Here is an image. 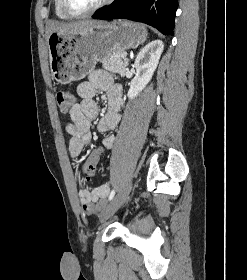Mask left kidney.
<instances>
[{"label": "left kidney", "instance_id": "5707ae66", "mask_svg": "<svg viewBox=\"0 0 247 280\" xmlns=\"http://www.w3.org/2000/svg\"><path fill=\"white\" fill-rule=\"evenodd\" d=\"M163 49V42L161 40H154L139 52L134 63L136 74L131 81L127 94L129 99L137 97L149 83L158 66Z\"/></svg>", "mask_w": 247, "mask_h": 280}]
</instances>
